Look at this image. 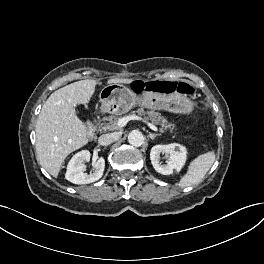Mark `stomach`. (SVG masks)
<instances>
[{
  "label": "stomach",
  "mask_w": 264,
  "mask_h": 264,
  "mask_svg": "<svg viewBox=\"0 0 264 264\" xmlns=\"http://www.w3.org/2000/svg\"><path fill=\"white\" fill-rule=\"evenodd\" d=\"M100 111L114 115H121L136 105L160 110L165 109L179 114H190L194 110V101L183 94H163L154 91H144L137 95L131 89L120 84L105 86L100 94Z\"/></svg>",
  "instance_id": "0dacf381"
}]
</instances>
